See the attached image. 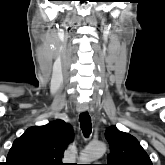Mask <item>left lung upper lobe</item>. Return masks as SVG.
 Segmentation results:
<instances>
[{"instance_id":"left-lung-upper-lobe-1","label":"left lung upper lobe","mask_w":165,"mask_h":165,"mask_svg":"<svg viewBox=\"0 0 165 165\" xmlns=\"http://www.w3.org/2000/svg\"><path fill=\"white\" fill-rule=\"evenodd\" d=\"M105 138L110 145L106 165H152L149 156L132 135L111 126L106 130Z\"/></svg>"}]
</instances>
